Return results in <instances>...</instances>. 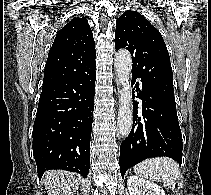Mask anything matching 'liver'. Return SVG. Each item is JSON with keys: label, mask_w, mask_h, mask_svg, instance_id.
I'll return each instance as SVG.
<instances>
[{"label": "liver", "mask_w": 211, "mask_h": 195, "mask_svg": "<svg viewBox=\"0 0 211 195\" xmlns=\"http://www.w3.org/2000/svg\"><path fill=\"white\" fill-rule=\"evenodd\" d=\"M81 177L64 170H49L45 173L44 186L48 195H74Z\"/></svg>", "instance_id": "obj_1"}]
</instances>
